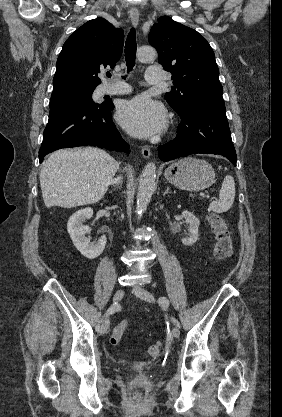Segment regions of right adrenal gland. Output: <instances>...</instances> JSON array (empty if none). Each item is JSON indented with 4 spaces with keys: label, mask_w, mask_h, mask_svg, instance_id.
Returning <instances> with one entry per match:
<instances>
[{
    "label": "right adrenal gland",
    "mask_w": 282,
    "mask_h": 417,
    "mask_svg": "<svg viewBox=\"0 0 282 417\" xmlns=\"http://www.w3.org/2000/svg\"><path fill=\"white\" fill-rule=\"evenodd\" d=\"M110 184H114V182H110ZM109 192H113V190H109Z\"/></svg>",
    "instance_id": "1"
}]
</instances>
